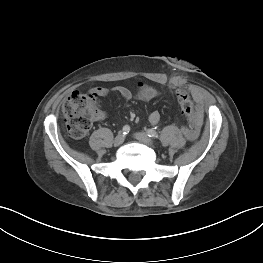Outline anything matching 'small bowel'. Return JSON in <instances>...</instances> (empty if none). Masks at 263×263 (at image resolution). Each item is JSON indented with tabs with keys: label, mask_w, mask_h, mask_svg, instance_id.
Returning <instances> with one entry per match:
<instances>
[{
	"label": "small bowel",
	"mask_w": 263,
	"mask_h": 263,
	"mask_svg": "<svg viewBox=\"0 0 263 263\" xmlns=\"http://www.w3.org/2000/svg\"><path fill=\"white\" fill-rule=\"evenodd\" d=\"M114 92L119 94L123 99L125 100H130L133 97L142 100V101H149L152 100L156 97L159 96V91L156 87L144 84V83H139L137 85L135 93H133L129 88L125 86H116L112 89ZM95 92L98 96H106L109 93V89L105 87H96L92 90ZM192 95L194 100L196 101L197 104V120H198V127L197 131L195 134L189 133L187 129H182V134H184L185 138L189 140H197L199 137L203 134L204 130V115L202 113V103H203V96L200 91L191 89ZM160 121V113L157 111L152 112L149 115V122L153 125L158 124Z\"/></svg>",
	"instance_id": "1"
}]
</instances>
